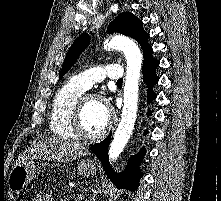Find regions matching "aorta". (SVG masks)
<instances>
[{
    "label": "aorta",
    "instance_id": "1",
    "mask_svg": "<svg viewBox=\"0 0 221 201\" xmlns=\"http://www.w3.org/2000/svg\"><path fill=\"white\" fill-rule=\"evenodd\" d=\"M104 48L122 51L127 60L121 120L109 148V160L114 162L124 150L135 125L142 55L136 43L122 35L106 41Z\"/></svg>",
    "mask_w": 221,
    "mask_h": 201
}]
</instances>
